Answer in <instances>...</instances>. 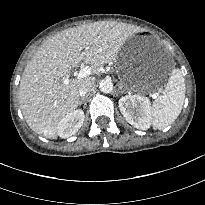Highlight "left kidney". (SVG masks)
<instances>
[{
	"label": "left kidney",
	"mask_w": 205,
	"mask_h": 205,
	"mask_svg": "<svg viewBox=\"0 0 205 205\" xmlns=\"http://www.w3.org/2000/svg\"><path fill=\"white\" fill-rule=\"evenodd\" d=\"M119 108L128 123L141 130L151 125L150 100L141 95H126L119 99Z\"/></svg>",
	"instance_id": "1"
}]
</instances>
